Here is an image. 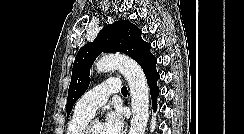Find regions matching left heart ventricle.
Listing matches in <instances>:
<instances>
[{
    "mask_svg": "<svg viewBox=\"0 0 244 134\" xmlns=\"http://www.w3.org/2000/svg\"><path fill=\"white\" fill-rule=\"evenodd\" d=\"M92 134H104L103 133V126H102V124L100 122H96L93 125Z\"/></svg>",
    "mask_w": 244,
    "mask_h": 134,
    "instance_id": "obj_1",
    "label": "left heart ventricle"
}]
</instances>
